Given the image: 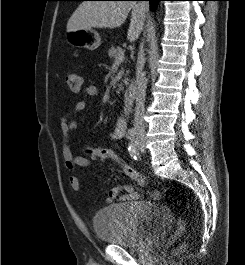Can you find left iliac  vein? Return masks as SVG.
I'll return each mask as SVG.
<instances>
[{
    "instance_id": "left-iliac-vein-1",
    "label": "left iliac vein",
    "mask_w": 245,
    "mask_h": 265,
    "mask_svg": "<svg viewBox=\"0 0 245 265\" xmlns=\"http://www.w3.org/2000/svg\"><path fill=\"white\" fill-rule=\"evenodd\" d=\"M137 147H138V150L140 152H144L145 151V141L144 140L139 141Z\"/></svg>"
}]
</instances>
